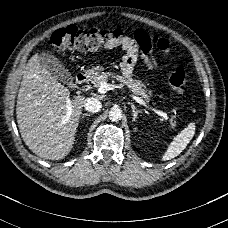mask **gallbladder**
I'll use <instances>...</instances> for the list:
<instances>
[{
	"instance_id": "obj_1",
	"label": "gallbladder",
	"mask_w": 228,
	"mask_h": 228,
	"mask_svg": "<svg viewBox=\"0 0 228 228\" xmlns=\"http://www.w3.org/2000/svg\"><path fill=\"white\" fill-rule=\"evenodd\" d=\"M40 63L61 83L68 86H71L74 83L73 75L56 56L50 53H42L40 54Z\"/></svg>"
}]
</instances>
